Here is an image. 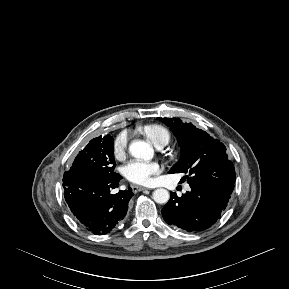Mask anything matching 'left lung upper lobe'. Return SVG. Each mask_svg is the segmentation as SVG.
<instances>
[{"label":"left lung upper lobe","instance_id":"5c2ea615","mask_svg":"<svg viewBox=\"0 0 289 289\" xmlns=\"http://www.w3.org/2000/svg\"><path fill=\"white\" fill-rule=\"evenodd\" d=\"M159 120L172 129L181 147L180 159L169 173H187L183 179H187L189 185L231 195L235 168L228 159L224 144L179 118Z\"/></svg>","mask_w":289,"mask_h":289}]
</instances>
